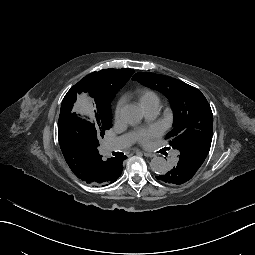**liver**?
Instances as JSON below:
<instances>
[{"label":"liver","instance_id":"1","mask_svg":"<svg viewBox=\"0 0 255 255\" xmlns=\"http://www.w3.org/2000/svg\"><path fill=\"white\" fill-rule=\"evenodd\" d=\"M80 106H81L82 113H86V114L90 115L91 117L94 116V114L92 112V107L86 100L85 96L82 97V99L80 101Z\"/></svg>","mask_w":255,"mask_h":255}]
</instances>
